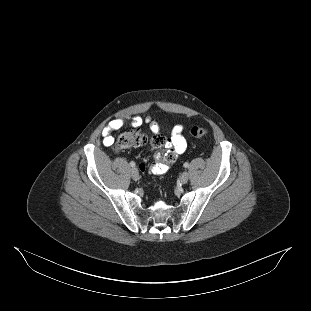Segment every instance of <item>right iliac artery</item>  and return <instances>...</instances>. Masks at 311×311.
Wrapping results in <instances>:
<instances>
[{
	"label": "right iliac artery",
	"mask_w": 311,
	"mask_h": 311,
	"mask_svg": "<svg viewBox=\"0 0 311 311\" xmlns=\"http://www.w3.org/2000/svg\"><path fill=\"white\" fill-rule=\"evenodd\" d=\"M135 165H136L135 162H133V161L130 162L131 167H135Z\"/></svg>",
	"instance_id": "1"
}]
</instances>
